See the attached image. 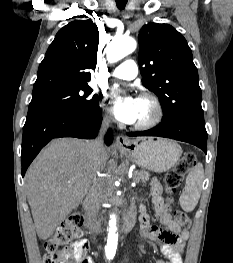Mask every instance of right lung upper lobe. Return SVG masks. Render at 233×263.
<instances>
[{
  "label": "right lung upper lobe",
  "instance_id": "right-lung-upper-lobe-1",
  "mask_svg": "<svg viewBox=\"0 0 233 263\" xmlns=\"http://www.w3.org/2000/svg\"><path fill=\"white\" fill-rule=\"evenodd\" d=\"M99 44L92 20H76L61 28L39 65L32 95L87 84L86 69H95Z\"/></svg>",
  "mask_w": 233,
  "mask_h": 263
}]
</instances>
